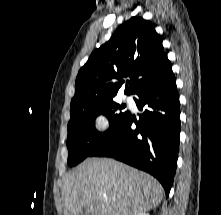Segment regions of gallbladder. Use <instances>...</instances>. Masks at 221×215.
Returning a JSON list of instances; mask_svg holds the SVG:
<instances>
[{
    "label": "gallbladder",
    "instance_id": "bac80fb5",
    "mask_svg": "<svg viewBox=\"0 0 221 215\" xmlns=\"http://www.w3.org/2000/svg\"><path fill=\"white\" fill-rule=\"evenodd\" d=\"M80 215H87L84 211L83 212H81V214Z\"/></svg>",
    "mask_w": 221,
    "mask_h": 215
}]
</instances>
